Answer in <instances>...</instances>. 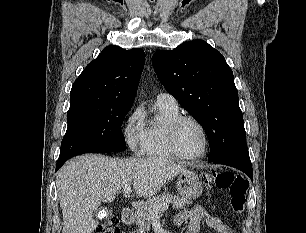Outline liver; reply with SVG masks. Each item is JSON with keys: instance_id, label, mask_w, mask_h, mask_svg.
I'll list each match as a JSON object with an SVG mask.
<instances>
[{"instance_id": "6515ba94", "label": "liver", "mask_w": 306, "mask_h": 233, "mask_svg": "<svg viewBox=\"0 0 306 233\" xmlns=\"http://www.w3.org/2000/svg\"><path fill=\"white\" fill-rule=\"evenodd\" d=\"M184 166L161 158L113 159L85 154L69 160L58 172L56 186L63 214L62 233H91L98 226L93 212L101 202L133 185L137 196L149 198L180 173Z\"/></svg>"}]
</instances>
